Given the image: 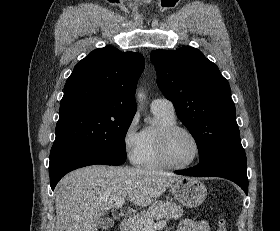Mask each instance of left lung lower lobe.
<instances>
[{
	"mask_svg": "<svg viewBox=\"0 0 280 231\" xmlns=\"http://www.w3.org/2000/svg\"><path fill=\"white\" fill-rule=\"evenodd\" d=\"M177 174L195 177H222L239 185L248 194L247 160L241 142L221 147L190 169L175 171Z\"/></svg>",
	"mask_w": 280,
	"mask_h": 231,
	"instance_id": "obj_1",
	"label": "left lung lower lobe"
}]
</instances>
